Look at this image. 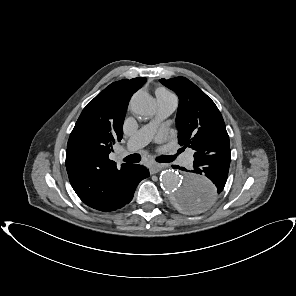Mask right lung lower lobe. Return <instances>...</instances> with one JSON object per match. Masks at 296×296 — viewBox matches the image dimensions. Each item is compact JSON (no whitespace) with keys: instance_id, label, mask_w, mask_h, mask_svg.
I'll return each mask as SVG.
<instances>
[{"instance_id":"obj_1","label":"right lung lower lobe","mask_w":296,"mask_h":296,"mask_svg":"<svg viewBox=\"0 0 296 296\" xmlns=\"http://www.w3.org/2000/svg\"><path fill=\"white\" fill-rule=\"evenodd\" d=\"M147 177H149V171L145 167L141 165H130L124 177L122 195L108 211L120 209L129 203L133 198L139 182Z\"/></svg>"}]
</instances>
